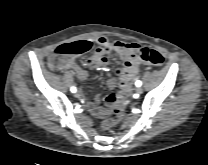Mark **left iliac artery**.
Here are the masks:
<instances>
[{"mask_svg":"<svg viewBox=\"0 0 208 165\" xmlns=\"http://www.w3.org/2000/svg\"><path fill=\"white\" fill-rule=\"evenodd\" d=\"M135 85H136L137 87H140V86L142 85V82L138 80V81H136Z\"/></svg>","mask_w":208,"mask_h":165,"instance_id":"left-iliac-artery-1","label":"left iliac artery"}]
</instances>
